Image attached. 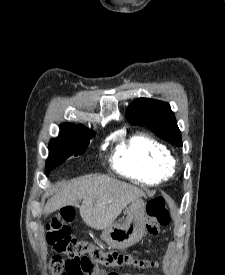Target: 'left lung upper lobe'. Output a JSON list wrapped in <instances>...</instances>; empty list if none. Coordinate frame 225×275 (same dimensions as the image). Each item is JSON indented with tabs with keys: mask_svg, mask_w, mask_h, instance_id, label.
Segmentation results:
<instances>
[{
	"mask_svg": "<svg viewBox=\"0 0 225 275\" xmlns=\"http://www.w3.org/2000/svg\"><path fill=\"white\" fill-rule=\"evenodd\" d=\"M127 120L133 125H144L163 140L182 146L181 133L168 103L139 98L127 109Z\"/></svg>",
	"mask_w": 225,
	"mask_h": 275,
	"instance_id": "5c2ea615",
	"label": "left lung upper lobe"
}]
</instances>
